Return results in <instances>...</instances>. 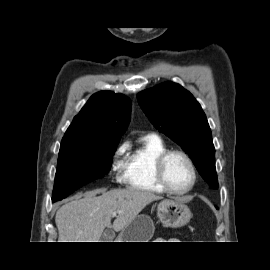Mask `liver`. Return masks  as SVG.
<instances>
[{
	"label": "liver",
	"instance_id": "obj_1",
	"mask_svg": "<svg viewBox=\"0 0 270 270\" xmlns=\"http://www.w3.org/2000/svg\"><path fill=\"white\" fill-rule=\"evenodd\" d=\"M102 193L100 196H96ZM161 199L152 192L134 188L98 189L66 203L56 213L59 242H99L104 229L119 232L151 202ZM118 215L111 225L112 213Z\"/></svg>",
	"mask_w": 270,
	"mask_h": 270
}]
</instances>
